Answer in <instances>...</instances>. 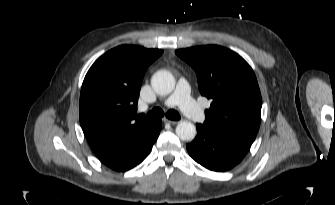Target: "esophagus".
Returning <instances> with one entry per match:
<instances>
[{"mask_svg":"<svg viewBox=\"0 0 335 205\" xmlns=\"http://www.w3.org/2000/svg\"><path fill=\"white\" fill-rule=\"evenodd\" d=\"M163 121H164L165 123L172 124V125H175V124L178 123V121L170 120V119H167V118H164Z\"/></svg>","mask_w":335,"mask_h":205,"instance_id":"34e87169","label":"esophagus"}]
</instances>
